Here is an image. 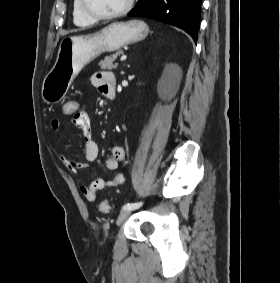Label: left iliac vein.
<instances>
[{
  "instance_id": "left-iliac-vein-1",
  "label": "left iliac vein",
  "mask_w": 280,
  "mask_h": 283,
  "mask_svg": "<svg viewBox=\"0 0 280 283\" xmlns=\"http://www.w3.org/2000/svg\"><path fill=\"white\" fill-rule=\"evenodd\" d=\"M131 211H132L131 209H123L118 215V218L116 221L117 225H121L130 215Z\"/></svg>"
}]
</instances>
